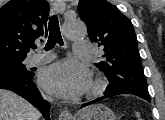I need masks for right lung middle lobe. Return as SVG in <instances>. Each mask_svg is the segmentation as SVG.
<instances>
[{"label": "right lung middle lobe", "instance_id": "obj_1", "mask_svg": "<svg viewBox=\"0 0 165 120\" xmlns=\"http://www.w3.org/2000/svg\"><path fill=\"white\" fill-rule=\"evenodd\" d=\"M22 61L23 60H12L0 62V75L29 79L33 78L34 73L28 71Z\"/></svg>", "mask_w": 165, "mask_h": 120}]
</instances>
